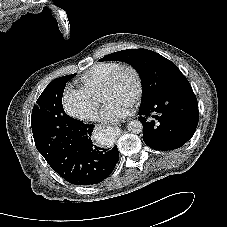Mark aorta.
<instances>
[{"instance_id": "obj_1", "label": "aorta", "mask_w": 227, "mask_h": 227, "mask_svg": "<svg viewBox=\"0 0 227 227\" xmlns=\"http://www.w3.org/2000/svg\"><path fill=\"white\" fill-rule=\"evenodd\" d=\"M127 129L130 133L139 134L143 131V125L139 120H132L128 123Z\"/></svg>"}]
</instances>
